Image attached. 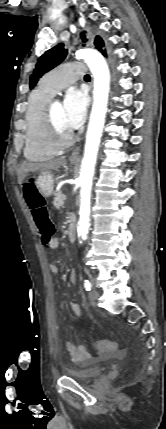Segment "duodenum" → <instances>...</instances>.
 Instances as JSON below:
<instances>
[{
  "label": "duodenum",
  "instance_id": "1",
  "mask_svg": "<svg viewBox=\"0 0 166 429\" xmlns=\"http://www.w3.org/2000/svg\"><path fill=\"white\" fill-rule=\"evenodd\" d=\"M76 236V217L74 215H71L69 217V224H68V239L70 242H73Z\"/></svg>",
  "mask_w": 166,
  "mask_h": 429
}]
</instances>
